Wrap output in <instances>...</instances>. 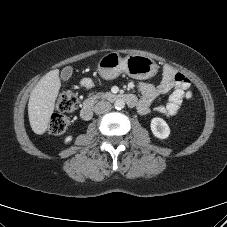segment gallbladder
<instances>
[{
    "label": "gallbladder",
    "mask_w": 227,
    "mask_h": 227,
    "mask_svg": "<svg viewBox=\"0 0 227 227\" xmlns=\"http://www.w3.org/2000/svg\"><path fill=\"white\" fill-rule=\"evenodd\" d=\"M72 75V68L71 67H65L60 74V77L63 81H67Z\"/></svg>",
    "instance_id": "gallbladder-1"
}]
</instances>
